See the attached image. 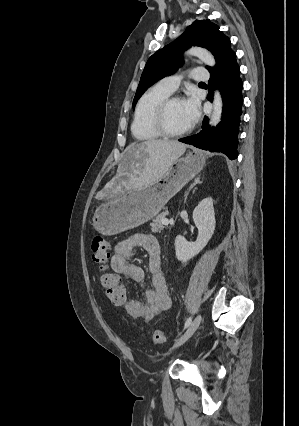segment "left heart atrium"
Here are the masks:
<instances>
[{"instance_id": "left-heart-atrium-1", "label": "left heart atrium", "mask_w": 299, "mask_h": 426, "mask_svg": "<svg viewBox=\"0 0 299 426\" xmlns=\"http://www.w3.org/2000/svg\"><path fill=\"white\" fill-rule=\"evenodd\" d=\"M183 102L190 123L196 122L199 117V104L197 100L194 97H190Z\"/></svg>"}]
</instances>
